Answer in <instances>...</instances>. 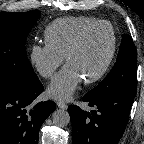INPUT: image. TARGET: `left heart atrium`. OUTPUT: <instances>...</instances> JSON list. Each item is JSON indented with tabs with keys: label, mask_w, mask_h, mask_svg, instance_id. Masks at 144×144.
<instances>
[{
	"label": "left heart atrium",
	"mask_w": 144,
	"mask_h": 144,
	"mask_svg": "<svg viewBox=\"0 0 144 144\" xmlns=\"http://www.w3.org/2000/svg\"><path fill=\"white\" fill-rule=\"evenodd\" d=\"M81 75L67 64L48 87V94L55 99L68 100L78 88Z\"/></svg>",
	"instance_id": "left-heart-atrium-1"
}]
</instances>
